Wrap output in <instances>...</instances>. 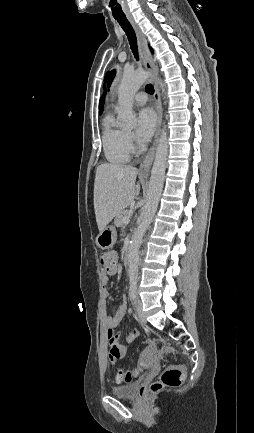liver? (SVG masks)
Here are the masks:
<instances>
[{
    "instance_id": "liver-1",
    "label": "liver",
    "mask_w": 254,
    "mask_h": 433,
    "mask_svg": "<svg viewBox=\"0 0 254 433\" xmlns=\"http://www.w3.org/2000/svg\"><path fill=\"white\" fill-rule=\"evenodd\" d=\"M137 169L129 165L103 163L97 167L94 182V210L99 231L128 207L140 191L135 184Z\"/></svg>"
}]
</instances>
